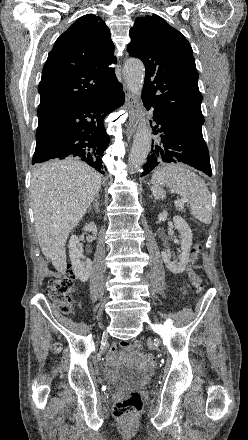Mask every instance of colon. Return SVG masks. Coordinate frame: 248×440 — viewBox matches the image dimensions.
I'll return each mask as SVG.
<instances>
[{
	"instance_id": "obj_1",
	"label": "colon",
	"mask_w": 248,
	"mask_h": 440,
	"mask_svg": "<svg viewBox=\"0 0 248 440\" xmlns=\"http://www.w3.org/2000/svg\"><path fill=\"white\" fill-rule=\"evenodd\" d=\"M201 250V246L196 244L191 249V259L188 267V275L194 287L199 291L203 287L202 279L196 273V260ZM75 285V272L71 266L68 267L64 276L54 279L50 282L48 292L56 306V308L63 314H68L72 310V292ZM135 348L140 350L143 348V343L136 340L127 348ZM142 409V398L138 392H130L123 399L118 400L113 406V414L117 418L132 417L140 412Z\"/></svg>"
}]
</instances>
